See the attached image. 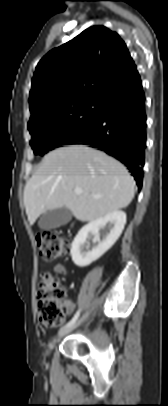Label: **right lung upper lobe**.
Wrapping results in <instances>:
<instances>
[{"label": "right lung upper lobe", "mask_w": 168, "mask_h": 406, "mask_svg": "<svg viewBox=\"0 0 168 406\" xmlns=\"http://www.w3.org/2000/svg\"><path fill=\"white\" fill-rule=\"evenodd\" d=\"M138 76L120 36L104 26H92L38 63L29 97V123L81 101L99 99Z\"/></svg>", "instance_id": "cb5924a9"}]
</instances>
